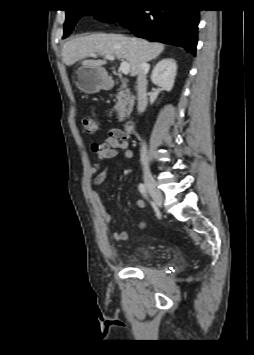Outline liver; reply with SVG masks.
I'll list each match as a JSON object with an SVG mask.
<instances>
[{
    "mask_svg": "<svg viewBox=\"0 0 254 355\" xmlns=\"http://www.w3.org/2000/svg\"><path fill=\"white\" fill-rule=\"evenodd\" d=\"M163 50L164 45L160 43H151L144 39L119 34L96 33L66 42L62 49V57L65 65L71 66L81 59L90 57L92 53L103 56L113 55L118 60H126L130 64L131 76H136L143 63L147 64ZM104 64H106L105 60L82 62V65L95 67H101Z\"/></svg>",
    "mask_w": 254,
    "mask_h": 355,
    "instance_id": "liver-1",
    "label": "liver"
}]
</instances>
